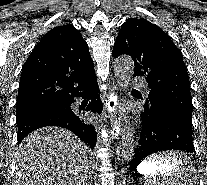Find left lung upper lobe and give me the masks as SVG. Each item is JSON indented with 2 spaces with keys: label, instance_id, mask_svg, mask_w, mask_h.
<instances>
[{
  "label": "left lung upper lobe",
  "instance_id": "5c2ea615",
  "mask_svg": "<svg viewBox=\"0 0 207 185\" xmlns=\"http://www.w3.org/2000/svg\"><path fill=\"white\" fill-rule=\"evenodd\" d=\"M128 54L135 76H145L151 89L144 107L169 108L192 124V98L180 50L157 25L143 18L127 19L116 38L114 58Z\"/></svg>",
  "mask_w": 207,
  "mask_h": 185
}]
</instances>
